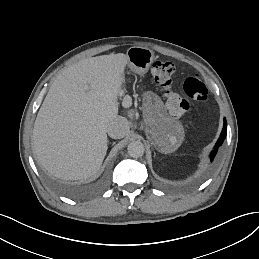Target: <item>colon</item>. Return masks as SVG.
I'll use <instances>...</instances> for the list:
<instances>
[{"label": "colon", "instance_id": "colon-1", "mask_svg": "<svg viewBox=\"0 0 259 259\" xmlns=\"http://www.w3.org/2000/svg\"><path fill=\"white\" fill-rule=\"evenodd\" d=\"M175 72L174 64L168 61H155L151 66V74L155 83L164 90L169 113L175 118H183L190 111L187 99L205 101L208 90L200 76L194 74L184 81V95L175 92L171 87Z\"/></svg>", "mask_w": 259, "mask_h": 259}]
</instances>
